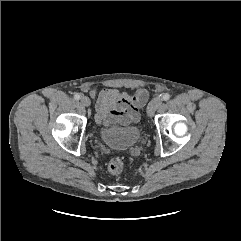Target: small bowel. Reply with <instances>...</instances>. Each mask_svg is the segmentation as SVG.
<instances>
[{"mask_svg":"<svg viewBox=\"0 0 241 241\" xmlns=\"http://www.w3.org/2000/svg\"><path fill=\"white\" fill-rule=\"evenodd\" d=\"M91 95L96 97V120L103 125L117 123L128 126L136 124L139 120V109L148 99V93L145 89L127 93L106 88L99 92L93 90Z\"/></svg>","mask_w":241,"mask_h":241,"instance_id":"small-bowel-1","label":"small bowel"}]
</instances>
